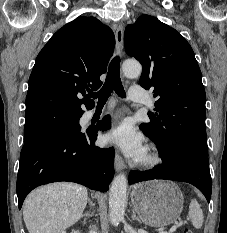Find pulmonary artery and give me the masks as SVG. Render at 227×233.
I'll use <instances>...</instances> for the list:
<instances>
[{"label":"pulmonary artery","instance_id":"obj_1","mask_svg":"<svg viewBox=\"0 0 227 233\" xmlns=\"http://www.w3.org/2000/svg\"><path fill=\"white\" fill-rule=\"evenodd\" d=\"M129 97L131 100H133L135 102H144V97H143L142 93L135 88H131L129 90ZM103 114L104 113H102V115Z\"/></svg>","mask_w":227,"mask_h":233}]
</instances>
